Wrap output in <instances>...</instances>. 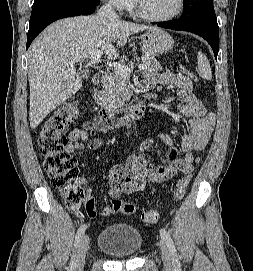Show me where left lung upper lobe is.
I'll use <instances>...</instances> for the list:
<instances>
[{
	"instance_id": "1",
	"label": "left lung upper lobe",
	"mask_w": 253,
	"mask_h": 271,
	"mask_svg": "<svg viewBox=\"0 0 253 271\" xmlns=\"http://www.w3.org/2000/svg\"><path fill=\"white\" fill-rule=\"evenodd\" d=\"M210 12H214L212 0H184V11L180 20L190 22Z\"/></svg>"
}]
</instances>
